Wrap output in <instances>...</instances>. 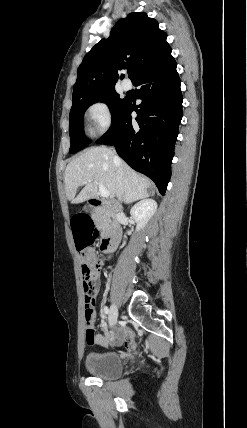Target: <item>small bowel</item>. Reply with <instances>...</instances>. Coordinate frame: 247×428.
Returning a JSON list of instances; mask_svg holds the SVG:
<instances>
[{"label": "small bowel", "instance_id": "obj_1", "mask_svg": "<svg viewBox=\"0 0 247 428\" xmlns=\"http://www.w3.org/2000/svg\"><path fill=\"white\" fill-rule=\"evenodd\" d=\"M88 255L90 257V260L92 263H96V257L93 251H89ZM100 287H101V283H100V279H99V275L97 276V279L93 282L92 286H91V292L88 298V301L94 306L95 300L98 296V293L100 291ZM86 301V300H85ZM95 339L92 342L87 341V343L89 345H98V346H107L108 344H114V345H119L123 342L124 339H126L129 335L123 331V330H118L117 332L108 335V336H104L101 334H94Z\"/></svg>", "mask_w": 247, "mask_h": 428}]
</instances>
